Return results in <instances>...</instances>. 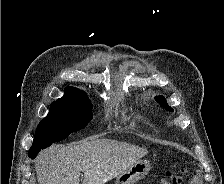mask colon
Returning <instances> with one entry per match:
<instances>
[{"label": "colon", "mask_w": 224, "mask_h": 184, "mask_svg": "<svg viewBox=\"0 0 224 184\" xmlns=\"http://www.w3.org/2000/svg\"><path fill=\"white\" fill-rule=\"evenodd\" d=\"M184 173V169L172 168L166 171L165 175L161 179V184H181Z\"/></svg>", "instance_id": "obj_1"}]
</instances>
